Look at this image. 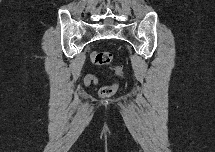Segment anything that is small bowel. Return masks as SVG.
I'll return each instance as SVG.
<instances>
[{"mask_svg":"<svg viewBox=\"0 0 215 152\" xmlns=\"http://www.w3.org/2000/svg\"><path fill=\"white\" fill-rule=\"evenodd\" d=\"M98 80L96 78V76L89 74L86 78H85V83L86 85H90V84H97Z\"/></svg>","mask_w":215,"mask_h":152,"instance_id":"1","label":"small bowel"}]
</instances>
